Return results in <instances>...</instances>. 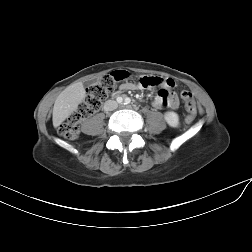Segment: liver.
<instances>
[{"label": "liver", "mask_w": 252, "mask_h": 252, "mask_svg": "<svg viewBox=\"0 0 252 252\" xmlns=\"http://www.w3.org/2000/svg\"><path fill=\"white\" fill-rule=\"evenodd\" d=\"M82 82L73 83L63 90L55 100L53 107V126L58 127L68 118L85 98Z\"/></svg>", "instance_id": "liver-1"}]
</instances>
